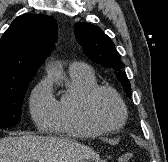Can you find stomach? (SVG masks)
I'll return each instance as SVG.
<instances>
[{
	"mask_svg": "<svg viewBox=\"0 0 168 162\" xmlns=\"http://www.w3.org/2000/svg\"><path fill=\"white\" fill-rule=\"evenodd\" d=\"M86 162H88V161H86ZM90 162H105V161H102V160H100V159H92Z\"/></svg>",
	"mask_w": 168,
	"mask_h": 162,
	"instance_id": "0dacf381",
	"label": "stomach"
}]
</instances>
